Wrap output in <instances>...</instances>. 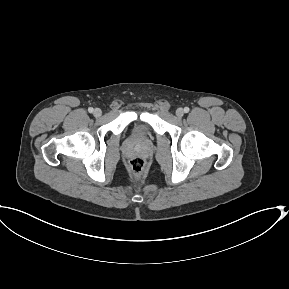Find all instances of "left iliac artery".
Masks as SVG:
<instances>
[{
    "label": "left iliac artery",
    "mask_w": 289,
    "mask_h": 289,
    "mask_svg": "<svg viewBox=\"0 0 289 289\" xmlns=\"http://www.w3.org/2000/svg\"><path fill=\"white\" fill-rule=\"evenodd\" d=\"M189 110H190V109H189L188 107H185V108H184V112H185V113H188Z\"/></svg>",
    "instance_id": "left-iliac-artery-1"
}]
</instances>
